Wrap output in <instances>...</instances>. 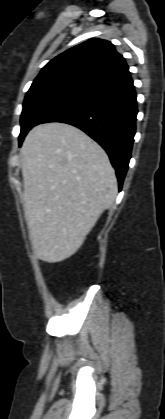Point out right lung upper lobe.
Masks as SVG:
<instances>
[{
	"label": "right lung upper lobe",
	"instance_id": "right-lung-upper-lobe-1",
	"mask_svg": "<svg viewBox=\"0 0 165 419\" xmlns=\"http://www.w3.org/2000/svg\"><path fill=\"white\" fill-rule=\"evenodd\" d=\"M129 74L125 59L116 52L113 44L102 39H90L46 64L29 91L59 86L87 94Z\"/></svg>",
	"mask_w": 165,
	"mask_h": 419
}]
</instances>
